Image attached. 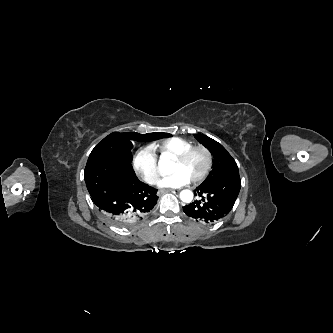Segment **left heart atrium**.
<instances>
[{
  "label": "left heart atrium",
  "instance_id": "39dd6f15",
  "mask_svg": "<svg viewBox=\"0 0 333 333\" xmlns=\"http://www.w3.org/2000/svg\"><path fill=\"white\" fill-rule=\"evenodd\" d=\"M190 181V178L186 174L178 171L163 178L159 185L165 188H179L187 185Z\"/></svg>",
  "mask_w": 333,
  "mask_h": 333
}]
</instances>
